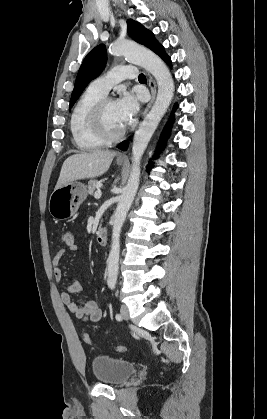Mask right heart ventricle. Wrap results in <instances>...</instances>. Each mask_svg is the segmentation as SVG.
Segmentation results:
<instances>
[{"label": "right heart ventricle", "mask_w": 267, "mask_h": 419, "mask_svg": "<svg viewBox=\"0 0 267 419\" xmlns=\"http://www.w3.org/2000/svg\"><path fill=\"white\" fill-rule=\"evenodd\" d=\"M104 94L88 88L76 102L70 116V130L75 146L81 151H91L102 147V141L93 131L90 116L93 107Z\"/></svg>", "instance_id": "1"}]
</instances>
